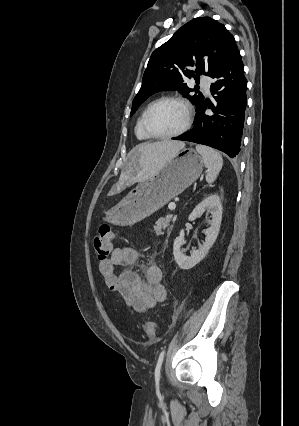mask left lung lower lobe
Here are the masks:
<instances>
[{
	"label": "left lung lower lobe",
	"mask_w": 299,
	"mask_h": 426,
	"mask_svg": "<svg viewBox=\"0 0 299 426\" xmlns=\"http://www.w3.org/2000/svg\"><path fill=\"white\" fill-rule=\"evenodd\" d=\"M211 77L214 102L203 100L193 129L172 139L207 145L234 158L240 152L247 104V80L239 50L233 51ZM207 107L214 112L212 116L205 114Z\"/></svg>",
	"instance_id": "obj_1"
}]
</instances>
